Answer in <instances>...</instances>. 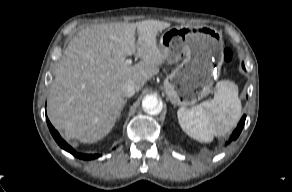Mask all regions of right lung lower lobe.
<instances>
[{"mask_svg":"<svg viewBox=\"0 0 292 192\" xmlns=\"http://www.w3.org/2000/svg\"><path fill=\"white\" fill-rule=\"evenodd\" d=\"M47 120V124L49 127V130L52 134V136L54 137V139L56 140V142L59 144V146L61 148H63L64 150L70 152L72 155H74L75 157L79 158V159H83V160H90V159H95L98 158L100 155L98 154H94V155H87V154H81V153H77L71 146H69L59 135V133L53 128V126L51 125L50 121L48 120V118L46 117Z\"/></svg>","mask_w":292,"mask_h":192,"instance_id":"1","label":"right lung lower lobe"}]
</instances>
